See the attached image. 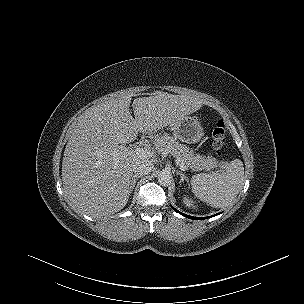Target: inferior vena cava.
I'll list each match as a JSON object with an SVG mask.
<instances>
[{"label":"inferior vena cava","mask_w":304,"mask_h":304,"mask_svg":"<svg viewBox=\"0 0 304 304\" xmlns=\"http://www.w3.org/2000/svg\"><path fill=\"white\" fill-rule=\"evenodd\" d=\"M154 168V164L148 159H138L133 164V172L135 175L143 176L149 174Z\"/></svg>","instance_id":"1"}]
</instances>
